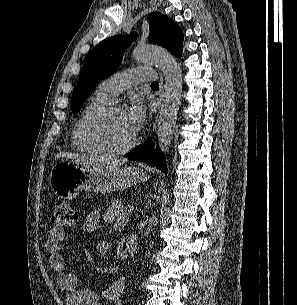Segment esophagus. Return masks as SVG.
Masks as SVG:
<instances>
[{"label":"esophagus","instance_id":"1","mask_svg":"<svg viewBox=\"0 0 297 305\" xmlns=\"http://www.w3.org/2000/svg\"><path fill=\"white\" fill-rule=\"evenodd\" d=\"M164 93V83H163V76H160V90H159V100L161 101L163 98Z\"/></svg>","mask_w":297,"mask_h":305}]
</instances>
